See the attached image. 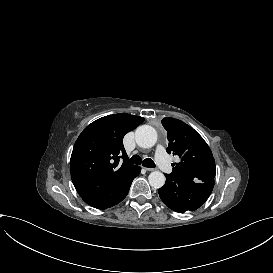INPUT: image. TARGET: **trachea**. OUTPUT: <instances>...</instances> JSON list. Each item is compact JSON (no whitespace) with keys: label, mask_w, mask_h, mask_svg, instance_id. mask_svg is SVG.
<instances>
[{"label":"trachea","mask_w":273,"mask_h":273,"mask_svg":"<svg viewBox=\"0 0 273 273\" xmlns=\"http://www.w3.org/2000/svg\"><path fill=\"white\" fill-rule=\"evenodd\" d=\"M131 163L136 164V165H140L142 163V165L146 168H154L156 167V164L154 163V161L150 158H146L143 162L141 160V158L138 155H134L130 158L129 160Z\"/></svg>","instance_id":"1"}]
</instances>
